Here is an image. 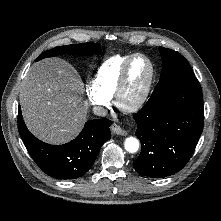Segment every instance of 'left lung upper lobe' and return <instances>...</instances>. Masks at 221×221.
<instances>
[{
  "mask_svg": "<svg viewBox=\"0 0 221 221\" xmlns=\"http://www.w3.org/2000/svg\"><path fill=\"white\" fill-rule=\"evenodd\" d=\"M162 56V72L160 81L154 89V93L161 92L170 85L188 78H195V75L188 61L177 51L159 47Z\"/></svg>",
  "mask_w": 221,
  "mask_h": 221,
  "instance_id": "1",
  "label": "left lung upper lobe"
}]
</instances>
